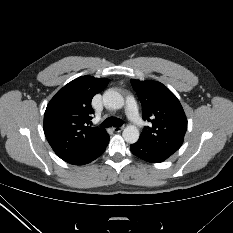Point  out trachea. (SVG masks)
Instances as JSON below:
<instances>
[{"label": "trachea", "instance_id": "trachea-1", "mask_svg": "<svg viewBox=\"0 0 233 233\" xmlns=\"http://www.w3.org/2000/svg\"><path fill=\"white\" fill-rule=\"evenodd\" d=\"M123 123L119 120V119H116V118H113V117H109L107 118L103 123H102V126L103 127H120L122 126Z\"/></svg>", "mask_w": 233, "mask_h": 233}]
</instances>
